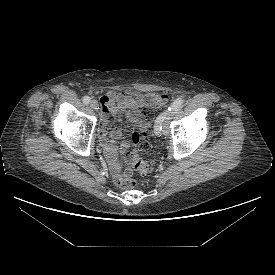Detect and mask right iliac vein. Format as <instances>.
<instances>
[{"instance_id": "1", "label": "right iliac vein", "mask_w": 275, "mask_h": 275, "mask_svg": "<svg viewBox=\"0 0 275 275\" xmlns=\"http://www.w3.org/2000/svg\"><path fill=\"white\" fill-rule=\"evenodd\" d=\"M90 106L93 109H97L98 108V102L96 100H91Z\"/></svg>"}]
</instances>
